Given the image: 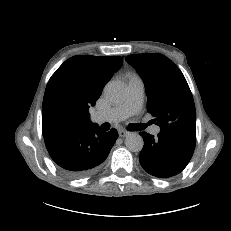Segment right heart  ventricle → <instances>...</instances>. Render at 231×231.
<instances>
[{"label": "right heart ventricle", "instance_id": "obj_1", "mask_svg": "<svg viewBox=\"0 0 231 231\" xmlns=\"http://www.w3.org/2000/svg\"><path fill=\"white\" fill-rule=\"evenodd\" d=\"M132 78H138V77H136V76H133Z\"/></svg>", "mask_w": 231, "mask_h": 231}]
</instances>
